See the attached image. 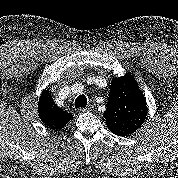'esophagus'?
Instances as JSON below:
<instances>
[{"label": "esophagus", "instance_id": "1", "mask_svg": "<svg viewBox=\"0 0 178 178\" xmlns=\"http://www.w3.org/2000/svg\"><path fill=\"white\" fill-rule=\"evenodd\" d=\"M92 110H93V107L92 106H88L86 108H80L78 111L80 113H82V112H88V111H92Z\"/></svg>", "mask_w": 178, "mask_h": 178}]
</instances>
